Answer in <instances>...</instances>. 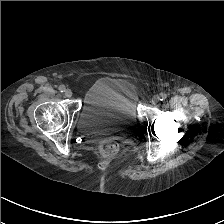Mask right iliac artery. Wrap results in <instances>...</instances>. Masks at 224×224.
Returning a JSON list of instances; mask_svg holds the SVG:
<instances>
[{
    "instance_id": "82829eb1",
    "label": "right iliac artery",
    "mask_w": 224,
    "mask_h": 224,
    "mask_svg": "<svg viewBox=\"0 0 224 224\" xmlns=\"http://www.w3.org/2000/svg\"><path fill=\"white\" fill-rule=\"evenodd\" d=\"M65 90H66V88H65L64 85H60V86H59V91H60V92H65Z\"/></svg>"
}]
</instances>
